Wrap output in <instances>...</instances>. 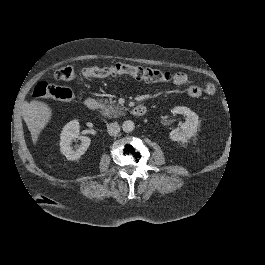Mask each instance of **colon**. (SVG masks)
Here are the masks:
<instances>
[{"instance_id":"colon-1","label":"colon","mask_w":265,"mask_h":265,"mask_svg":"<svg viewBox=\"0 0 265 265\" xmlns=\"http://www.w3.org/2000/svg\"><path fill=\"white\" fill-rule=\"evenodd\" d=\"M86 77H110L115 75H129L137 80L146 82H167L170 73L150 67L133 66L125 63H118L108 67L91 66L83 70ZM76 72L70 66H63L56 70L55 78L62 81H73L76 79ZM35 98H50L61 101H72L75 93L67 87H61L47 82L38 83L33 91Z\"/></svg>"}]
</instances>
